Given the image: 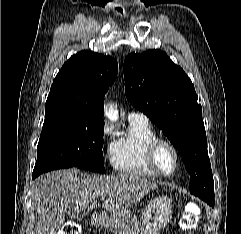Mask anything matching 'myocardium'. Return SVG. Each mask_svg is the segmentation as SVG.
Here are the masks:
<instances>
[{"instance_id":"obj_1","label":"myocardium","mask_w":241,"mask_h":234,"mask_svg":"<svg viewBox=\"0 0 241 234\" xmlns=\"http://www.w3.org/2000/svg\"><path fill=\"white\" fill-rule=\"evenodd\" d=\"M162 146L169 148L174 155V167L170 171H164L158 162V151ZM146 159L149 166L160 176L173 175L177 171L180 163V155L177 147L171 141L160 137H156L148 144Z\"/></svg>"}]
</instances>
